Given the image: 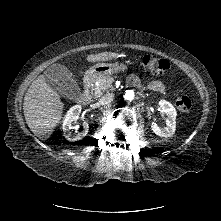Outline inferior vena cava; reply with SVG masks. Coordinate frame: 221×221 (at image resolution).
Returning a JSON list of instances; mask_svg holds the SVG:
<instances>
[{"mask_svg":"<svg viewBox=\"0 0 221 221\" xmlns=\"http://www.w3.org/2000/svg\"><path fill=\"white\" fill-rule=\"evenodd\" d=\"M114 99V94L113 93H107L105 94L104 96H102L99 100V103L102 104V105H105V104H109L113 101Z\"/></svg>","mask_w":221,"mask_h":221,"instance_id":"602c4592","label":"inferior vena cava"}]
</instances>
